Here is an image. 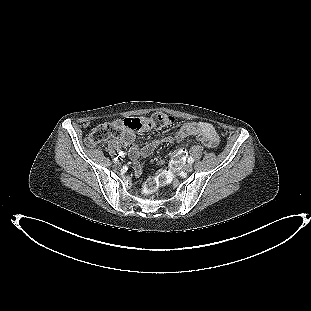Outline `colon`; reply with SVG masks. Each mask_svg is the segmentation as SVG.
Instances as JSON below:
<instances>
[{
	"label": "colon",
	"instance_id": "1",
	"mask_svg": "<svg viewBox=\"0 0 311 311\" xmlns=\"http://www.w3.org/2000/svg\"><path fill=\"white\" fill-rule=\"evenodd\" d=\"M175 119L164 113H155L151 117H130L121 121H114L101 124L90 131L85 138L89 147H97L108 139L119 134L122 128L132 131H140L151 127H164L173 124ZM175 162H172L166 169L160 171L157 176L148 179L144 185V193L152 194L161 186L169 183L172 179V169Z\"/></svg>",
	"mask_w": 311,
	"mask_h": 311
}]
</instances>
